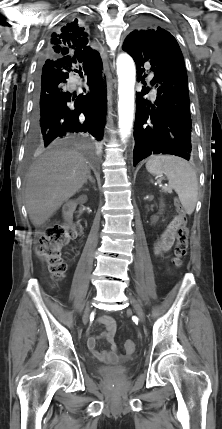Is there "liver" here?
I'll use <instances>...</instances> for the list:
<instances>
[{"label": "liver", "instance_id": "liver-1", "mask_svg": "<svg viewBox=\"0 0 222 429\" xmlns=\"http://www.w3.org/2000/svg\"><path fill=\"white\" fill-rule=\"evenodd\" d=\"M86 158L75 150L50 149L30 166L25 178V203L35 227L43 225L87 181Z\"/></svg>", "mask_w": 222, "mask_h": 429}]
</instances>
